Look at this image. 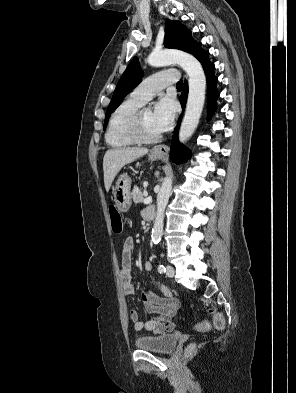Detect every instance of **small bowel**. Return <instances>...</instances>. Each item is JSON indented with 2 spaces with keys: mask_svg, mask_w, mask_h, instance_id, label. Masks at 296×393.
Masks as SVG:
<instances>
[{
  "mask_svg": "<svg viewBox=\"0 0 296 393\" xmlns=\"http://www.w3.org/2000/svg\"><path fill=\"white\" fill-rule=\"evenodd\" d=\"M133 248V238H126L122 247V262L120 267L121 285L126 295H134L135 293L132 283ZM144 268L148 273L153 271L151 262H146ZM152 283L163 294V297H159L151 292H143L141 301L144 310L150 314H154V317L144 323L140 320V314L136 309H131L129 311V316L135 330H147L156 335H161L175 329V325L172 323L171 319L179 307V300L175 298L170 289L161 282L153 279Z\"/></svg>",
  "mask_w": 296,
  "mask_h": 393,
  "instance_id": "obj_1",
  "label": "small bowel"
}]
</instances>
